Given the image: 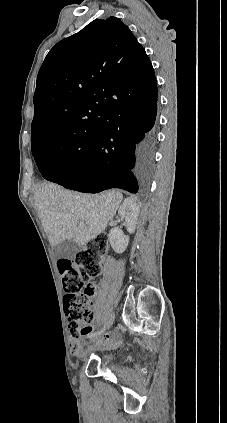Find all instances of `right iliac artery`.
<instances>
[{
  "mask_svg": "<svg viewBox=\"0 0 227 423\" xmlns=\"http://www.w3.org/2000/svg\"><path fill=\"white\" fill-rule=\"evenodd\" d=\"M101 332H99V331H97V332H93V333H90V334H87V338H92V337H95V336H97L98 334H100Z\"/></svg>",
  "mask_w": 227,
  "mask_h": 423,
  "instance_id": "82829eb1",
  "label": "right iliac artery"
}]
</instances>
